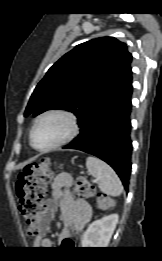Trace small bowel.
<instances>
[{"instance_id":"small-bowel-1","label":"small bowel","mask_w":162,"mask_h":261,"mask_svg":"<svg viewBox=\"0 0 162 261\" xmlns=\"http://www.w3.org/2000/svg\"><path fill=\"white\" fill-rule=\"evenodd\" d=\"M72 177L67 173L59 174L52 183V200L42 217L41 226L45 228L55 213V202L60 203L63 227L59 235L61 246L68 241L72 232H80L92 217V210L84 200L74 199L71 195ZM34 246L43 249L53 247L52 240L45 235L36 237Z\"/></svg>"}]
</instances>
